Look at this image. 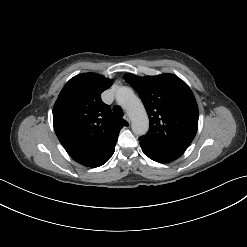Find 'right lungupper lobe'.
Wrapping results in <instances>:
<instances>
[{
    "instance_id": "obj_1",
    "label": "right lung upper lobe",
    "mask_w": 247,
    "mask_h": 247,
    "mask_svg": "<svg viewBox=\"0 0 247 247\" xmlns=\"http://www.w3.org/2000/svg\"><path fill=\"white\" fill-rule=\"evenodd\" d=\"M113 80L96 73L71 78L61 90L53 108L55 133L68 152L84 166L95 164L117 142L128 123L115 117L100 95Z\"/></svg>"
}]
</instances>
